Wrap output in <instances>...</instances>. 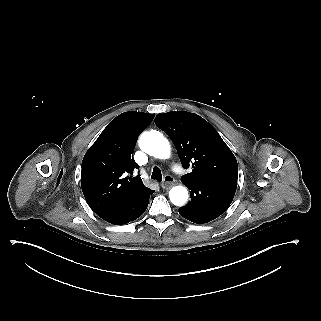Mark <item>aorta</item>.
<instances>
[{
	"label": "aorta",
	"mask_w": 321,
	"mask_h": 321,
	"mask_svg": "<svg viewBox=\"0 0 321 321\" xmlns=\"http://www.w3.org/2000/svg\"><path fill=\"white\" fill-rule=\"evenodd\" d=\"M140 148L150 156L160 159H168L171 153L169 141L162 133L156 130L144 132L139 138ZM170 201L176 206H183L188 199V190L179 185L169 191Z\"/></svg>",
	"instance_id": "aorta-1"
}]
</instances>
